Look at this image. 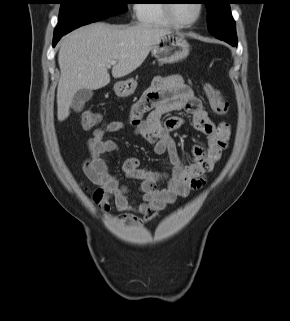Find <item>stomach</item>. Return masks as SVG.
<instances>
[{
	"instance_id": "stomach-1",
	"label": "stomach",
	"mask_w": 290,
	"mask_h": 321,
	"mask_svg": "<svg viewBox=\"0 0 290 321\" xmlns=\"http://www.w3.org/2000/svg\"><path fill=\"white\" fill-rule=\"evenodd\" d=\"M190 45L184 36L169 33L153 46L152 55L161 64H171L185 59L189 55ZM137 87L134 79L119 81L114 85V91L119 97L131 95Z\"/></svg>"
}]
</instances>
